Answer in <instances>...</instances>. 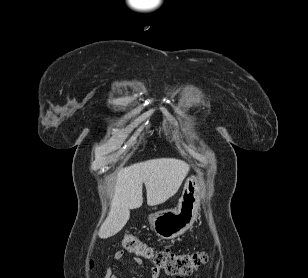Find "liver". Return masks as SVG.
<instances>
[{
    "label": "liver",
    "instance_id": "6515ba94",
    "mask_svg": "<svg viewBox=\"0 0 308 278\" xmlns=\"http://www.w3.org/2000/svg\"><path fill=\"white\" fill-rule=\"evenodd\" d=\"M188 171V164L174 158L152 159L119 169L110 211L99 229V237L107 239L117 234L129 220L130 209L141 207L143 183L147 204L159 205L177 193Z\"/></svg>",
    "mask_w": 308,
    "mask_h": 278
}]
</instances>
